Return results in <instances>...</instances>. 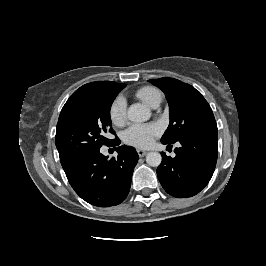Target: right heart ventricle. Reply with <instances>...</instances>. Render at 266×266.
Segmentation results:
<instances>
[{"mask_svg":"<svg viewBox=\"0 0 266 266\" xmlns=\"http://www.w3.org/2000/svg\"><path fill=\"white\" fill-rule=\"evenodd\" d=\"M136 97L151 107L158 106L162 101L161 92L152 86H145L140 88L136 92Z\"/></svg>","mask_w":266,"mask_h":266,"instance_id":"obj_1","label":"right heart ventricle"}]
</instances>
